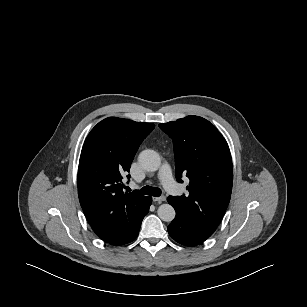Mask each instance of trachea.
Segmentation results:
<instances>
[{
	"label": "trachea",
	"instance_id": "3493384b",
	"mask_svg": "<svg viewBox=\"0 0 307 307\" xmlns=\"http://www.w3.org/2000/svg\"><path fill=\"white\" fill-rule=\"evenodd\" d=\"M141 193L145 195H151L154 197H159L161 195V189L157 187L145 186L141 189Z\"/></svg>",
	"mask_w": 307,
	"mask_h": 307
}]
</instances>
